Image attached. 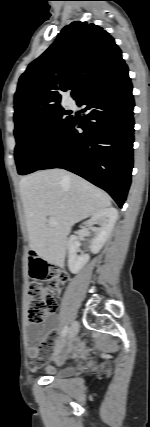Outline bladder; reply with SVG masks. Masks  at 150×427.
<instances>
[{
	"instance_id": "31cf9c89",
	"label": "bladder",
	"mask_w": 150,
	"mask_h": 427,
	"mask_svg": "<svg viewBox=\"0 0 150 427\" xmlns=\"http://www.w3.org/2000/svg\"><path fill=\"white\" fill-rule=\"evenodd\" d=\"M51 372L54 378H67L75 373V368L70 365H63L53 368Z\"/></svg>"
}]
</instances>
